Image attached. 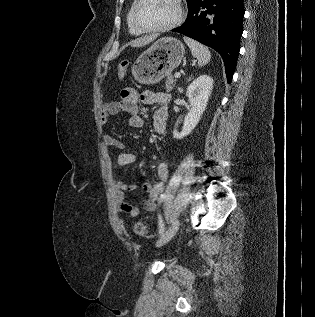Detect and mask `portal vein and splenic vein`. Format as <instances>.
<instances>
[{
    "label": "portal vein and splenic vein",
    "instance_id": "portal-vein-and-splenic-vein-1",
    "mask_svg": "<svg viewBox=\"0 0 315 317\" xmlns=\"http://www.w3.org/2000/svg\"><path fill=\"white\" fill-rule=\"evenodd\" d=\"M180 76H181L180 72H176L174 75L175 78H180Z\"/></svg>",
    "mask_w": 315,
    "mask_h": 317
}]
</instances>
